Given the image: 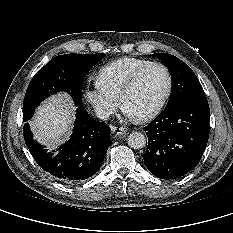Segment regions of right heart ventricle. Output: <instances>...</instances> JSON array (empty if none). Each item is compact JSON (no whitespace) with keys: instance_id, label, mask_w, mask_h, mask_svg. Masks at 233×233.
<instances>
[{"instance_id":"1","label":"right heart ventricle","mask_w":233,"mask_h":233,"mask_svg":"<svg viewBox=\"0 0 233 233\" xmlns=\"http://www.w3.org/2000/svg\"><path fill=\"white\" fill-rule=\"evenodd\" d=\"M151 61L135 57H122L102 66L97 80L112 95L119 98L120 93L131 75Z\"/></svg>"}]
</instances>
